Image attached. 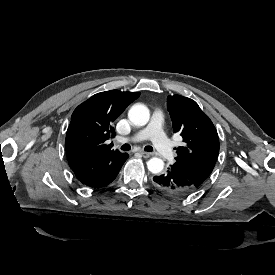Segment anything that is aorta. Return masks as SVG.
<instances>
[{
	"mask_svg": "<svg viewBox=\"0 0 275 275\" xmlns=\"http://www.w3.org/2000/svg\"><path fill=\"white\" fill-rule=\"evenodd\" d=\"M128 118L134 125L144 126L150 118L149 109L142 103H136L130 108ZM147 167L151 173L158 174L163 170L164 162L160 158L153 157L147 162Z\"/></svg>",
	"mask_w": 275,
	"mask_h": 275,
	"instance_id": "1",
	"label": "aorta"
}]
</instances>
